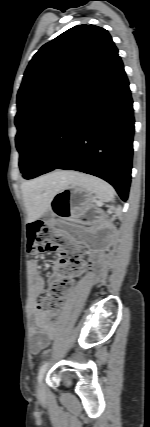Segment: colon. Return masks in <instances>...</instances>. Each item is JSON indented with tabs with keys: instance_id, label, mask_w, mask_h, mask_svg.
<instances>
[{
	"instance_id": "5ec220e1",
	"label": "colon",
	"mask_w": 150,
	"mask_h": 427,
	"mask_svg": "<svg viewBox=\"0 0 150 427\" xmlns=\"http://www.w3.org/2000/svg\"><path fill=\"white\" fill-rule=\"evenodd\" d=\"M27 248L31 255L58 251L62 256L47 296L41 298L38 303V308L46 312L50 321L55 324L74 277L84 268V250L73 244L65 234L53 231L42 221H35L29 225Z\"/></svg>"
}]
</instances>
